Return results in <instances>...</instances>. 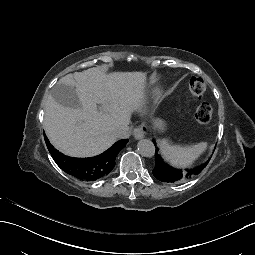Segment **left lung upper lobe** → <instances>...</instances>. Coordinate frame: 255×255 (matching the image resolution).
<instances>
[{"label":"left lung upper lobe","mask_w":255,"mask_h":255,"mask_svg":"<svg viewBox=\"0 0 255 255\" xmlns=\"http://www.w3.org/2000/svg\"><path fill=\"white\" fill-rule=\"evenodd\" d=\"M158 156H159V155L156 153V154H155V159H157ZM162 162L165 163L164 161H162ZM159 163H160V162H159ZM167 169H170V170H172V171L178 170V169H175V168H174V169H171V166H169V165H168ZM202 170H203V169H202ZM202 170H201V171H202ZM201 171H200V172H201ZM200 172H197L195 175L199 174ZM157 179H158V178H157ZM158 180H160V179H158ZM162 182H163V181H162ZM178 182H181V181H178ZM178 182H175V183H178ZM165 183H166V182H165Z\"/></svg>","instance_id":"5c2ea615"}]
</instances>
